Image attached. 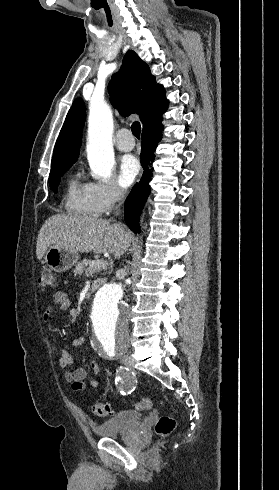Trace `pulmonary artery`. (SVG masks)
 <instances>
[{
	"label": "pulmonary artery",
	"mask_w": 279,
	"mask_h": 490,
	"mask_svg": "<svg viewBox=\"0 0 279 490\" xmlns=\"http://www.w3.org/2000/svg\"><path fill=\"white\" fill-rule=\"evenodd\" d=\"M116 135L117 137L114 139V144L120 151H131L137 144L136 137H129V128H117Z\"/></svg>",
	"instance_id": "e3ab8cb5"
}]
</instances>
